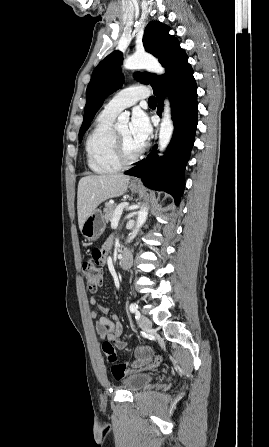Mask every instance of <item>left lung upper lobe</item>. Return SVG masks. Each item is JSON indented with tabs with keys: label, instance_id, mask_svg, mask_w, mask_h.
I'll return each mask as SVG.
<instances>
[{
	"label": "left lung upper lobe",
	"instance_id": "5c2ea615",
	"mask_svg": "<svg viewBox=\"0 0 269 447\" xmlns=\"http://www.w3.org/2000/svg\"><path fill=\"white\" fill-rule=\"evenodd\" d=\"M170 28L160 22H150L144 31L143 44L147 52L158 58L165 67L164 75L152 73H136L134 76L142 83L150 84L153 91L159 88L170 76L178 58L184 50L179 41L169 34ZM123 55L114 51L105 57L94 69L91 81L86 91V106L82 126L79 132V141L89 128L94 115L102 106L104 99L121 87L124 82L120 65Z\"/></svg>",
	"mask_w": 269,
	"mask_h": 447
}]
</instances>
